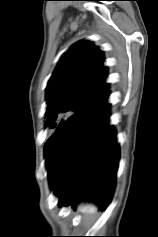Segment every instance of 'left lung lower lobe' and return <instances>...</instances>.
Returning a JSON list of instances; mask_svg holds the SVG:
<instances>
[{"label": "left lung lower lobe", "instance_id": "0a47b994", "mask_svg": "<svg viewBox=\"0 0 158 237\" xmlns=\"http://www.w3.org/2000/svg\"><path fill=\"white\" fill-rule=\"evenodd\" d=\"M104 92L66 119L47 140L45 156L50 183L60 205L89 199L104 210L109 204L119 161L114 129L108 125Z\"/></svg>", "mask_w": 158, "mask_h": 237}]
</instances>
